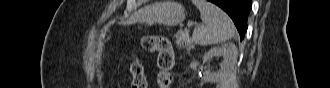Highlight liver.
<instances>
[{"instance_id":"1","label":"liver","mask_w":330,"mask_h":88,"mask_svg":"<svg viewBox=\"0 0 330 88\" xmlns=\"http://www.w3.org/2000/svg\"><path fill=\"white\" fill-rule=\"evenodd\" d=\"M152 5L145 6L138 11H136L130 18V21L136 22V21H144L151 12Z\"/></svg>"}]
</instances>
